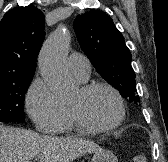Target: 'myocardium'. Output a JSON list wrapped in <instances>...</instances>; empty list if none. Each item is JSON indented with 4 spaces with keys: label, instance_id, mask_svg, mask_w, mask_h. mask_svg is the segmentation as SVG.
I'll list each match as a JSON object with an SVG mask.
<instances>
[{
    "label": "myocardium",
    "instance_id": "1",
    "mask_svg": "<svg viewBox=\"0 0 168 162\" xmlns=\"http://www.w3.org/2000/svg\"><path fill=\"white\" fill-rule=\"evenodd\" d=\"M100 88L108 90L114 96V98L117 102V105H118V115L114 119V121H112L109 124L94 125V124L90 123L89 121H87L81 115V113L79 112V110L77 108L70 106V111H71V114H72L76 124L84 131L93 132V133L111 131V130H114L117 127H119L125 119L126 109H125V103H124L123 97L121 96L119 91L115 87H113L112 85L105 83V82H92V83H88V84L83 85L81 88V91L84 94H88V93H90L96 89H100Z\"/></svg>",
    "mask_w": 168,
    "mask_h": 162
}]
</instances>
